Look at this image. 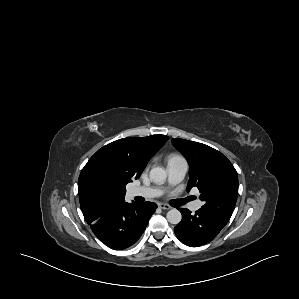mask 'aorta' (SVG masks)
Here are the masks:
<instances>
[{"mask_svg":"<svg viewBox=\"0 0 299 299\" xmlns=\"http://www.w3.org/2000/svg\"><path fill=\"white\" fill-rule=\"evenodd\" d=\"M167 178V172L162 167H153L150 170V179L158 184H163ZM166 218L169 223L171 224H178L181 219L182 215L181 212L175 208L169 210L167 212Z\"/></svg>","mask_w":299,"mask_h":299,"instance_id":"obj_1","label":"aorta"}]
</instances>
